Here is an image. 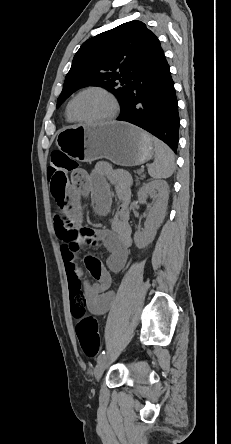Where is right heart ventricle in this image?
Here are the masks:
<instances>
[{"instance_id": "e07e8e85", "label": "right heart ventricle", "mask_w": 231, "mask_h": 444, "mask_svg": "<svg viewBox=\"0 0 231 444\" xmlns=\"http://www.w3.org/2000/svg\"><path fill=\"white\" fill-rule=\"evenodd\" d=\"M69 104H70V102L68 103V105H67V107H66L65 116H66V119H67L68 122L73 123V122H75V120L72 118V116H71V114H70V111H69Z\"/></svg>"}]
</instances>
